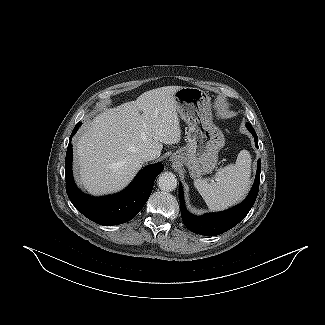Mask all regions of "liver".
Here are the masks:
<instances>
[{
  "mask_svg": "<svg viewBox=\"0 0 325 325\" xmlns=\"http://www.w3.org/2000/svg\"><path fill=\"white\" fill-rule=\"evenodd\" d=\"M180 88L146 91L135 101L104 109L84 128L75 144V168L90 194L123 189L142 168V151L153 149L159 157L163 144L179 143L174 94Z\"/></svg>",
  "mask_w": 325,
  "mask_h": 325,
  "instance_id": "6515ba94",
  "label": "liver"
}]
</instances>
